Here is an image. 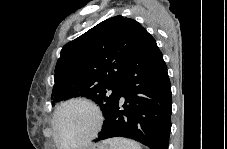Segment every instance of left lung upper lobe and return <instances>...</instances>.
Instances as JSON below:
<instances>
[{"mask_svg":"<svg viewBox=\"0 0 227 149\" xmlns=\"http://www.w3.org/2000/svg\"><path fill=\"white\" fill-rule=\"evenodd\" d=\"M143 27L121 15L66 44L54 74L53 101L86 96L104 116L114 105Z\"/></svg>","mask_w":227,"mask_h":149,"instance_id":"1","label":"left lung upper lobe"}]
</instances>
